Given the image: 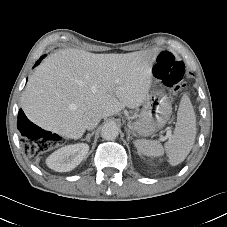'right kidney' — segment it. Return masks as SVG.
<instances>
[{
  "label": "right kidney",
  "mask_w": 227,
  "mask_h": 227,
  "mask_svg": "<svg viewBox=\"0 0 227 227\" xmlns=\"http://www.w3.org/2000/svg\"><path fill=\"white\" fill-rule=\"evenodd\" d=\"M89 146L77 143L64 146L53 152L46 160L47 166L57 172H68L77 167L86 157Z\"/></svg>",
  "instance_id": "1"
}]
</instances>
